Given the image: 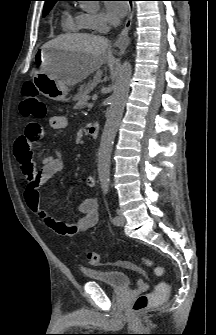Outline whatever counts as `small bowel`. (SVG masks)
Here are the masks:
<instances>
[{"label": "small bowel", "mask_w": 216, "mask_h": 335, "mask_svg": "<svg viewBox=\"0 0 216 335\" xmlns=\"http://www.w3.org/2000/svg\"><path fill=\"white\" fill-rule=\"evenodd\" d=\"M50 125L55 130L63 129L67 125V118L64 115L52 116ZM24 135L19 138L15 151L26 180L24 198L28 208L46 227L62 236H73L95 227L98 222V204L95 198H87L81 202L78 207L80 216L71 222L58 220L41 207V189L50 178L62 171V154L57 152L40 157L42 166L38 169L32 145L44 138L42 124L38 120L25 124ZM84 183L87 187H94L96 180L90 175L85 178Z\"/></svg>", "instance_id": "c3829d8e"}]
</instances>
